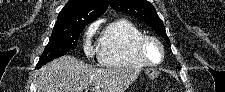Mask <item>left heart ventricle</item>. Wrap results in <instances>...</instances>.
<instances>
[{
	"instance_id": "b2bd125f",
	"label": "left heart ventricle",
	"mask_w": 225,
	"mask_h": 92,
	"mask_svg": "<svg viewBox=\"0 0 225 92\" xmlns=\"http://www.w3.org/2000/svg\"><path fill=\"white\" fill-rule=\"evenodd\" d=\"M145 51H146V55H147L148 59H150L151 61L158 60V58L160 56V52L156 45L149 43L146 46Z\"/></svg>"
}]
</instances>
